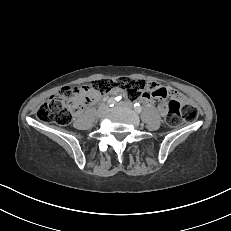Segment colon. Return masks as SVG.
Returning <instances> with one entry per match:
<instances>
[{
  "instance_id": "1",
  "label": "colon",
  "mask_w": 231,
  "mask_h": 231,
  "mask_svg": "<svg viewBox=\"0 0 231 231\" xmlns=\"http://www.w3.org/2000/svg\"><path fill=\"white\" fill-rule=\"evenodd\" d=\"M92 92L106 93L111 90H121L130 99L140 98L147 90L144 80L131 78H107L91 83ZM78 92L77 87H64L37 110V118L46 123L68 125L72 120L73 101ZM165 124L176 126L182 121L194 122L199 117L198 108L185 97L183 100H172L163 108Z\"/></svg>"
}]
</instances>
